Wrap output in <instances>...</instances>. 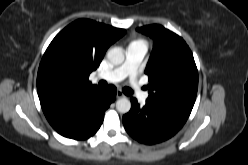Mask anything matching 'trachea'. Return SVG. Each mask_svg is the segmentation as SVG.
Wrapping results in <instances>:
<instances>
[{
	"label": "trachea",
	"mask_w": 248,
	"mask_h": 165,
	"mask_svg": "<svg viewBox=\"0 0 248 165\" xmlns=\"http://www.w3.org/2000/svg\"><path fill=\"white\" fill-rule=\"evenodd\" d=\"M99 85L102 86V87H105L107 85V83H106V81L102 80V81L99 82ZM123 93L128 95V96H130V95L133 94V91L128 87H124L123 88Z\"/></svg>",
	"instance_id": "3493384b"
}]
</instances>
